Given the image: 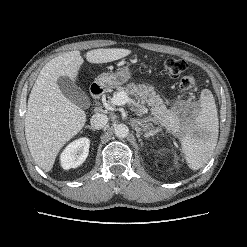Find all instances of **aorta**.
<instances>
[{
	"label": "aorta",
	"mask_w": 247,
	"mask_h": 247,
	"mask_svg": "<svg viewBox=\"0 0 247 247\" xmlns=\"http://www.w3.org/2000/svg\"><path fill=\"white\" fill-rule=\"evenodd\" d=\"M114 133L118 138H125L129 134V128L125 124H118L114 128Z\"/></svg>",
	"instance_id": "1"
}]
</instances>
